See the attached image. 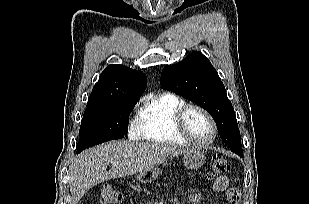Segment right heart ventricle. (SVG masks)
<instances>
[{"instance_id": "e07e8e85", "label": "right heart ventricle", "mask_w": 309, "mask_h": 204, "mask_svg": "<svg viewBox=\"0 0 309 204\" xmlns=\"http://www.w3.org/2000/svg\"><path fill=\"white\" fill-rule=\"evenodd\" d=\"M185 104L183 98L173 93L147 98L136 120L138 136L153 143L186 145L188 141L175 127L176 113Z\"/></svg>"}]
</instances>
